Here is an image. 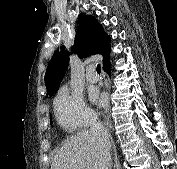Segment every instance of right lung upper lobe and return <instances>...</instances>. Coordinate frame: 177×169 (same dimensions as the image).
Listing matches in <instances>:
<instances>
[{"instance_id": "cb5924a9", "label": "right lung upper lobe", "mask_w": 177, "mask_h": 169, "mask_svg": "<svg viewBox=\"0 0 177 169\" xmlns=\"http://www.w3.org/2000/svg\"><path fill=\"white\" fill-rule=\"evenodd\" d=\"M80 23L75 36L72 51L80 58L93 54L103 55V67L110 64L111 38L104 32L102 25L92 15L81 13ZM65 47L57 50L45 73V85L47 94L52 96L56 93L58 85L62 81L69 65V55Z\"/></svg>"}]
</instances>
